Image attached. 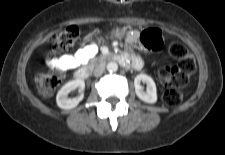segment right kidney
Listing matches in <instances>:
<instances>
[{
	"mask_svg": "<svg viewBox=\"0 0 225 155\" xmlns=\"http://www.w3.org/2000/svg\"><path fill=\"white\" fill-rule=\"evenodd\" d=\"M75 89H78L80 95L72 99L68 98V94ZM84 89L85 82L83 80L77 79L66 83L57 93L56 102L58 107H60L61 109L75 108L83 99Z\"/></svg>",
	"mask_w": 225,
	"mask_h": 155,
	"instance_id": "ca27d5eb",
	"label": "right kidney"
}]
</instances>
